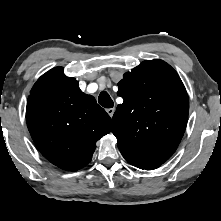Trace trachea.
<instances>
[{
  "mask_svg": "<svg viewBox=\"0 0 221 221\" xmlns=\"http://www.w3.org/2000/svg\"><path fill=\"white\" fill-rule=\"evenodd\" d=\"M98 102L101 106L105 108H112L114 106L113 100L111 99L109 94L105 91L100 93Z\"/></svg>",
  "mask_w": 221,
  "mask_h": 221,
  "instance_id": "3493384b",
  "label": "trachea"
}]
</instances>
